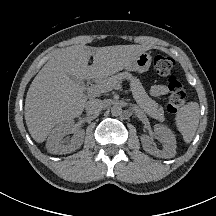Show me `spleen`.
I'll return each instance as SVG.
<instances>
[{
	"label": "spleen",
	"instance_id": "1",
	"mask_svg": "<svg viewBox=\"0 0 216 216\" xmlns=\"http://www.w3.org/2000/svg\"><path fill=\"white\" fill-rule=\"evenodd\" d=\"M199 117L200 109L197 102H190L178 111L175 125L186 143L192 141L199 124Z\"/></svg>",
	"mask_w": 216,
	"mask_h": 216
}]
</instances>
